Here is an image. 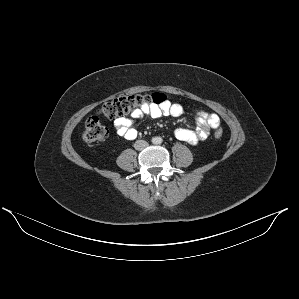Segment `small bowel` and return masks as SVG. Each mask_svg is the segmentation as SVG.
Instances as JSON below:
<instances>
[{
	"instance_id": "obj_1",
	"label": "small bowel",
	"mask_w": 299,
	"mask_h": 299,
	"mask_svg": "<svg viewBox=\"0 0 299 299\" xmlns=\"http://www.w3.org/2000/svg\"><path fill=\"white\" fill-rule=\"evenodd\" d=\"M183 114V107L178 103L165 101L161 105H150L135 110L129 116H122L114 120L116 133L127 140H133L138 136L135 127L136 122L143 117L159 118L163 115L179 117ZM196 127L194 129L177 128L174 135L177 139L195 145L205 140L210 130L220 126V118L215 113L205 110H196Z\"/></svg>"
}]
</instances>
